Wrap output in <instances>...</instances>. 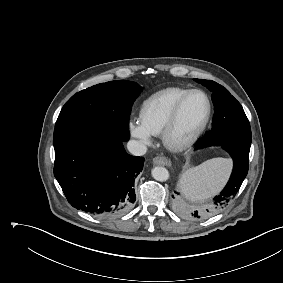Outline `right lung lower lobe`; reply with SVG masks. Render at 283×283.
<instances>
[{
    "label": "right lung lower lobe",
    "instance_id": "98d812e1",
    "mask_svg": "<svg viewBox=\"0 0 283 283\" xmlns=\"http://www.w3.org/2000/svg\"><path fill=\"white\" fill-rule=\"evenodd\" d=\"M123 142L107 133H89L55 149L54 176L73 207L100 217L131 208L144 158L127 154Z\"/></svg>",
    "mask_w": 283,
    "mask_h": 283
}]
</instances>
